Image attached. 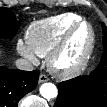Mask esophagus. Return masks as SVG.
<instances>
[{
    "instance_id": "1",
    "label": "esophagus",
    "mask_w": 107,
    "mask_h": 107,
    "mask_svg": "<svg viewBox=\"0 0 107 107\" xmlns=\"http://www.w3.org/2000/svg\"><path fill=\"white\" fill-rule=\"evenodd\" d=\"M47 81H49V78L46 75H44V74H40L39 82L43 83V82H47Z\"/></svg>"
}]
</instances>
